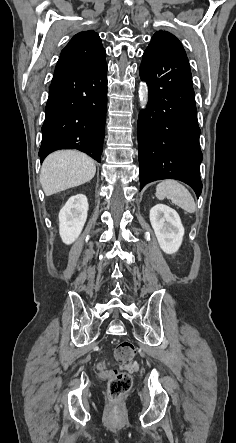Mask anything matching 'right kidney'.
<instances>
[{
    "label": "right kidney",
    "mask_w": 236,
    "mask_h": 443,
    "mask_svg": "<svg viewBox=\"0 0 236 443\" xmlns=\"http://www.w3.org/2000/svg\"><path fill=\"white\" fill-rule=\"evenodd\" d=\"M88 200L83 194L69 198L59 212V233L65 244H72L80 235L87 219Z\"/></svg>",
    "instance_id": "1"
}]
</instances>
